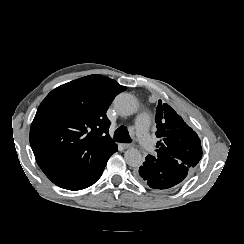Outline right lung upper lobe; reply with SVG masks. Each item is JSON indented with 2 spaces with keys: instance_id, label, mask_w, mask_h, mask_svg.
<instances>
[{
  "instance_id": "cb5924a9",
  "label": "right lung upper lobe",
  "mask_w": 244,
  "mask_h": 244,
  "mask_svg": "<svg viewBox=\"0 0 244 244\" xmlns=\"http://www.w3.org/2000/svg\"><path fill=\"white\" fill-rule=\"evenodd\" d=\"M126 87L101 75H89L51 91L38 107L30 129L36 161L48 176L116 144L106 111Z\"/></svg>"
}]
</instances>
